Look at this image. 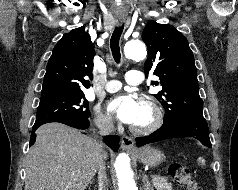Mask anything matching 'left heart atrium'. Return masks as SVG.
<instances>
[{
	"mask_svg": "<svg viewBox=\"0 0 238 190\" xmlns=\"http://www.w3.org/2000/svg\"><path fill=\"white\" fill-rule=\"evenodd\" d=\"M139 101L131 94L115 97L108 106V110L121 122L132 124L138 114Z\"/></svg>",
	"mask_w": 238,
	"mask_h": 190,
	"instance_id": "obj_1",
	"label": "left heart atrium"
}]
</instances>
